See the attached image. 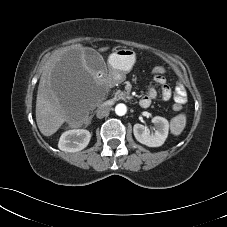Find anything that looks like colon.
I'll use <instances>...</instances> for the list:
<instances>
[{
	"label": "colon",
	"instance_id": "colon-1",
	"mask_svg": "<svg viewBox=\"0 0 227 227\" xmlns=\"http://www.w3.org/2000/svg\"><path fill=\"white\" fill-rule=\"evenodd\" d=\"M165 71V68L163 66H156L152 69V74L155 75H160L163 74ZM174 109L175 110H180L181 109V105L179 104H175L174 105Z\"/></svg>",
	"mask_w": 227,
	"mask_h": 227
}]
</instances>
